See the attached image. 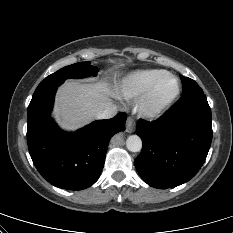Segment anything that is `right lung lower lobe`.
Masks as SVG:
<instances>
[{
	"mask_svg": "<svg viewBox=\"0 0 233 233\" xmlns=\"http://www.w3.org/2000/svg\"><path fill=\"white\" fill-rule=\"evenodd\" d=\"M56 90L32 97L27 112L28 149L35 167L49 183L67 190L86 189L98 180L109 141L125 130L127 115L121 112L75 133H65L50 117Z\"/></svg>",
	"mask_w": 233,
	"mask_h": 233,
	"instance_id": "1",
	"label": "right lung lower lobe"
}]
</instances>
